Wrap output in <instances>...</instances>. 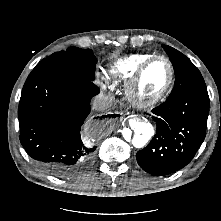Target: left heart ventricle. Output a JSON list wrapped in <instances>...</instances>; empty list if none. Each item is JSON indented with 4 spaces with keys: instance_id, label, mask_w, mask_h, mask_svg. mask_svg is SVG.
I'll list each match as a JSON object with an SVG mask.
<instances>
[{
    "instance_id": "1",
    "label": "left heart ventricle",
    "mask_w": 221,
    "mask_h": 221,
    "mask_svg": "<svg viewBox=\"0 0 221 221\" xmlns=\"http://www.w3.org/2000/svg\"><path fill=\"white\" fill-rule=\"evenodd\" d=\"M169 77L168 65L163 60L154 61L143 74L138 92L143 97H152L158 94L166 85Z\"/></svg>"
}]
</instances>
